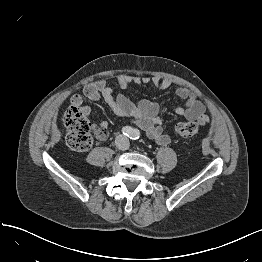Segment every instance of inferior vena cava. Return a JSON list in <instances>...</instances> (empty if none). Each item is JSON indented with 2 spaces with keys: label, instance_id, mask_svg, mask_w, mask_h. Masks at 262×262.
<instances>
[{
  "label": "inferior vena cava",
  "instance_id": "1",
  "mask_svg": "<svg viewBox=\"0 0 262 262\" xmlns=\"http://www.w3.org/2000/svg\"><path fill=\"white\" fill-rule=\"evenodd\" d=\"M115 144L119 150H127L130 146L129 139L123 135H118L116 137Z\"/></svg>",
  "mask_w": 262,
  "mask_h": 262
}]
</instances>
